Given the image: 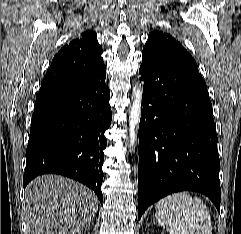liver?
<instances>
[{"instance_id": "liver-1", "label": "liver", "mask_w": 241, "mask_h": 234, "mask_svg": "<svg viewBox=\"0 0 241 234\" xmlns=\"http://www.w3.org/2000/svg\"><path fill=\"white\" fill-rule=\"evenodd\" d=\"M25 203L29 234H77L90 224L98 209L92 190L52 174L28 184Z\"/></svg>"}]
</instances>
